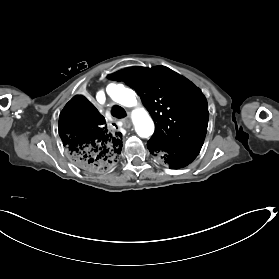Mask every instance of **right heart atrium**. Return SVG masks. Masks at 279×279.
<instances>
[{
  "instance_id": "obj_1",
  "label": "right heart atrium",
  "mask_w": 279,
  "mask_h": 279,
  "mask_svg": "<svg viewBox=\"0 0 279 279\" xmlns=\"http://www.w3.org/2000/svg\"><path fill=\"white\" fill-rule=\"evenodd\" d=\"M132 115L134 117H144V111L141 108L136 109L135 111L132 112Z\"/></svg>"
}]
</instances>
